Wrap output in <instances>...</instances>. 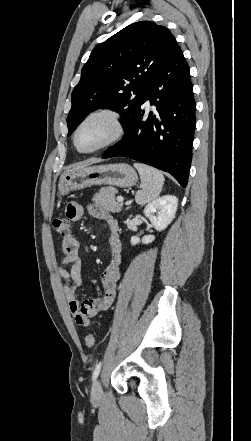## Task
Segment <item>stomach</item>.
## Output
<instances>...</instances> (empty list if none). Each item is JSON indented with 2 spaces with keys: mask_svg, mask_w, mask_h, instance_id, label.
Instances as JSON below:
<instances>
[{
  "mask_svg": "<svg viewBox=\"0 0 251 441\" xmlns=\"http://www.w3.org/2000/svg\"><path fill=\"white\" fill-rule=\"evenodd\" d=\"M138 181L136 171L126 163L85 166L65 172L58 184L59 193L66 195L94 185H111L121 188L134 186Z\"/></svg>",
  "mask_w": 251,
  "mask_h": 441,
  "instance_id": "1",
  "label": "stomach"
}]
</instances>
